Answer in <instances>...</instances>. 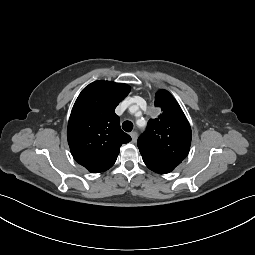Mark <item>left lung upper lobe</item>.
Listing matches in <instances>:
<instances>
[{"label":"left lung upper lobe","mask_w":255,"mask_h":255,"mask_svg":"<svg viewBox=\"0 0 255 255\" xmlns=\"http://www.w3.org/2000/svg\"><path fill=\"white\" fill-rule=\"evenodd\" d=\"M155 106L162 114L148 121L146 132L137 144L143 161L151 170L171 172L188 155L192 133L189 122L174 97L159 90Z\"/></svg>","instance_id":"1"}]
</instances>
